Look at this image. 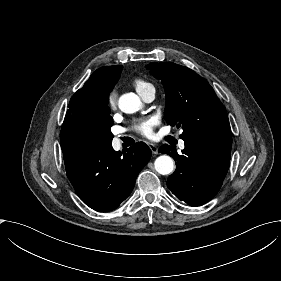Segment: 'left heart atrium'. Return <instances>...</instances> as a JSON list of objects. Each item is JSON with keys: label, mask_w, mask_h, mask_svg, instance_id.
<instances>
[{"label": "left heart atrium", "mask_w": 281, "mask_h": 281, "mask_svg": "<svg viewBox=\"0 0 281 281\" xmlns=\"http://www.w3.org/2000/svg\"><path fill=\"white\" fill-rule=\"evenodd\" d=\"M160 120L157 116H149L139 119L135 122L133 129L143 136L152 138L154 136L153 129L159 124Z\"/></svg>", "instance_id": "1"}]
</instances>
